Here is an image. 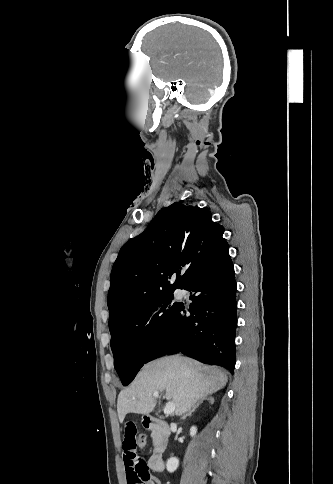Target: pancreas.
Masks as SVG:
<instances>
[{
  "mask_svg": "<svg viewBox=\"0 0 333 484\" xmlns=\"http://www.w3.org/2000/svg\"><path fill=\"white\" fill-rule=\"evenodd\" d=\"M151 437L154 445L159 444L163 440L162 434L159 431H152Z\"/></svg>",
  "mask_w": 333,
  "mask_h": 484,
  "instance_id": "obj_1",
  "label": "pancreas"
}]
</instances>
